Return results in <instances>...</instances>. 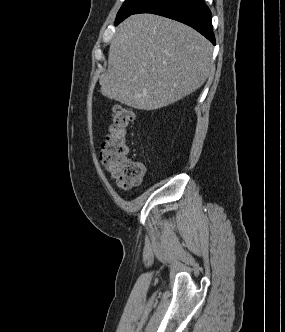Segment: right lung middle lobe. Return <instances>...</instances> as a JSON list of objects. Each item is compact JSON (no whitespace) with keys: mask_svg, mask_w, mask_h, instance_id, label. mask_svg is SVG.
Segmentation results:
<instances>
[{"mask_svg":"<svg viewBox=\"0 0 285 332\" xmlns=\"http://www.w3.org/2000/svg\"><path fill=\"white\" fill-rule=\"evenodd\" d=\"M147 1L148 0H126L117 14L115 25H118L125 18L130 16L136 9Z\"/></svg>","mask_w":285,"mask_h":332,"instance_id":"right-lung-middle-lobe-1","label":"right lung middle lobe"}]
</instances>
